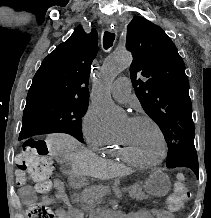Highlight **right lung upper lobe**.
Segmentation results:
<instances>
[{
  "label": "right lung upper lobe",
  "mask_w": 211,
  "mask_h": 218,
  "mask_svg": "<svg viewBox=\"0 0 211 218\" xmlns=\"http://www.w3.org/2000/svg\"><path fill=\"white\" fill-rule=\"evenodd\" d=\"M95 30L87 34L78 26L71 37L42 61L26 103L39 100L89 102L88 79L98 51Z\"/></svg>",
  "instance_id": "cb5924a9"
}]
</instances>
